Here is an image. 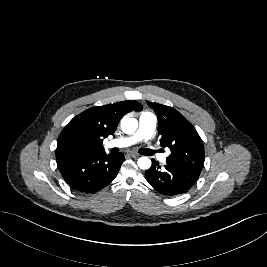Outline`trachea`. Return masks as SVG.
Listing matches in <instances>:
<instances>
[{
	"instance_id": "obj_1",
	"label": "trachea",
	"mask_w": 267,
	"mask_h": 267,
	"mask_svg": "<svg viewBox=\"0 0 267 267\" xmlns=\"http://www.w3.org/2000/svg\"><path fill=\"white\" fill-rule=\"evenodd\" d=\"M144 152H145L147 155H152V154H153V152H152V151H150V150H147V149H145V150H144Z\"/></svg>"
}]
</instances>
